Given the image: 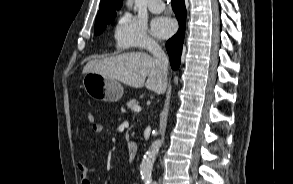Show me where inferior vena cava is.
I'll return each instance as SVG.
<instances>
[{"mask_svg": "<svg viewBox=\"0 0 293 184\" xmlns=\"http://www.w3.org/2000/svg\"><path fill=\"white\" fill-rule=\"evenodd\" d=\"M149 52L153 55L154 63L157 67L159 76L164 83L167 84V74H168V57L164 53L163 49L157 44L152 43L148 47ZM156 184V183H154Z\"/></svg>", "mask_w": 293, "mask_h": 184, "instance_id": "1", "label": "inferior vena cava"}]
</instances>
